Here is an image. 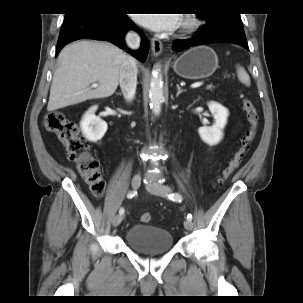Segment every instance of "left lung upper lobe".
<instances>
[{
    "mask_svg": "<svg viewBox=\"0 0 303 303\" xmlns=\"http://www.w3.org/2000/svg\"><path fill=\"white\" fill-rule=\"evenodd\" d=\"M202 17L207 20V25L203 27L206 31L231 29L244 30L238 13H213L204 14Z\"/></svg>",
    "mask_w": 303,
    "mask_h": 303,
    "instance_id": "5c2ea615",
    "label": "left lung upper lobe"
}]
</instances>
